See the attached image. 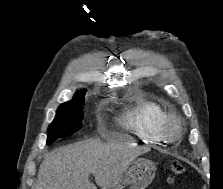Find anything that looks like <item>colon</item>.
<instances>
[{
  "mask_svg": "<svg viewBox=\"0 0 223 189\" xmlns=\"http://www.w3.org/2000/svg\"><path fill=\"white\" fill-rule=\"evenodd\" d=\"M170 167L172 175L174 176L182 175L186 172L185 165L180 161H172Z\"/></svg>",
  "mask_w": 223,
  "mask_h": 189,
  "instance_id": "5ec220e1",
  "label": "colon"
}]
</instances>
